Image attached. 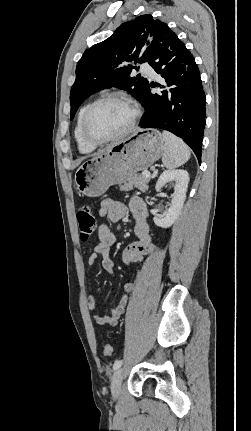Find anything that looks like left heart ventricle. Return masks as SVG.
I'll use <instances>...</instances> for the list:
<instances>
[{
  "mask_svg": "<svg viewBox=\"0 0 251 431\" xmlns=\"http://www.w3.org/2000/svg\"><path fill=\"white\" fill-rule=\"evenodd\" d=\"M132 117L133 111L130 106L118 101H108L92 113L88 131L96 139L112 137L124 131Z\"/></svg>",
  "mask_w": 251,
  "mask_h": 431,
  "instance_id": "obj_1",
  "label": "left heart ventricle"
}]
</instances>
